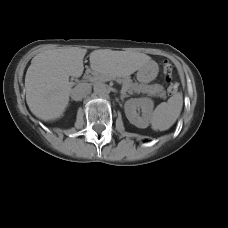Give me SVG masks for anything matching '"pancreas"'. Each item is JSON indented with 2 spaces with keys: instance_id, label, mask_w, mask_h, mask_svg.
Returning a JSON list of instances; mask_svg holds the SVG:
<instances>
[{
  "instance_id": "1",
  "label": "pancreas",
  "mask_w": 228,
  "mask_h": 228,
  "mask_svg": "<svg viewBox=\"0 0 228 228\" xmlns=\"http://www.w3.org/2000/svg\"><path fill=\"white\" fill-rule=\"evenodd\" d=\"M111 79H116L119 83H122V86L127 90V92L132 93H143L148 94L149 96H159L165 97L166 92L162 86L158 84L146 85V84H138L133 83L129 78H116V77H108L105 75L97 74L90 78L93 82H105Z\"/></svg>"
}]
</instances>
